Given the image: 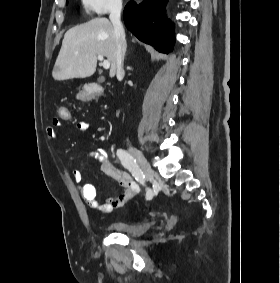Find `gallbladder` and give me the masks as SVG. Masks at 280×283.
I'll use <instances>...</instances> for the list:
<instances>
[{"mask_svg": "<svg viewBox=\"0 0 280 283\" xmlns=\"http://www.w3.org/2000/svg\"><path fill=\"white\" fill-rule=\"evenodd\" d=\"M104 81V79L102 78V77H100L99 79H98V82H103Z\"/></svg>", "mask_w": 280, "mask_h": 283, "instance_id": "1", "label": "gallbladder"}]
</instances>
